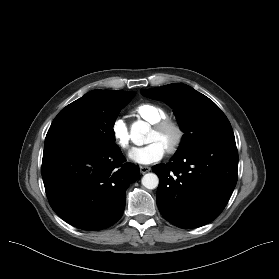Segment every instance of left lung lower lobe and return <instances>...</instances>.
Masks as SVG:
<instances>
[{"instance_id":"left-lung-lower-lobe-1","label":"left lung lower lobe","mask_w":279,"mask_h":279,"mask_svg":"<svg viewBox=\"0 0 279 279\" xmlns=\"http://www.w3.org/2000/svg\"><path fill=\"white\" fill-rule=\"evenodd\" d=\"M235 141L198 145L171 162L155 165L156 194L162 216L180 228H196L213 221L225 208L237 182Z\"/></svg>"}]
</instances>
